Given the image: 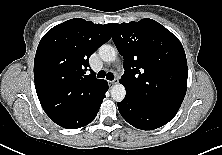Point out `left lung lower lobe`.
<instances>
[{
    "label": "left lung lower lobe",
    "instance_id": "left-lung-lower-lobe-1",
    "mask_svg": "<svg viewBox=\"0 0 222 155\" xmlns=\"http://www.w3.org/2000/svg\"><path fill=\"white\" fill-rule=\"evenodd\" d=\"M117 106L121 116L129 124L141 130L159 128L172 120L177 113L130 96H126L122 102H118Z\"/></svg>",
    "mask_w": 222,
    "mask_h": 155
}]
</instances>
